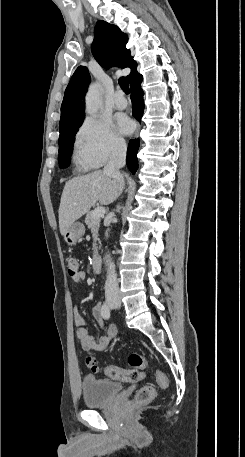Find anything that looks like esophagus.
I'll return each instance as SVG.
<instances>
[{
	"instance_id": "1",
	"label": "esophagus",
	"mask_w": 245,
	"mask_h": 457,
	"mask_svg": "<svg viewBox=\"0 0 245 457\" xmlns=\"http://www.w3.org/2000/svg\"><path fill=\"white\" fill-rule=\"evenodd\" d=\"M138 133H139V124L137 125V130H136V132L134 134V137H138Z\"/></svg>"
}]
</instances>
